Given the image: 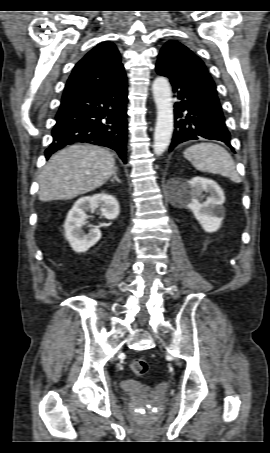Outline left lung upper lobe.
Here are the masks:
<instances>
[{"label":"left lung upper lobe","instance_id":"5c2ea615","mask_svg":"<svg viewBox=\"0 0 270 453\" xmlns=\"http://www.w3.org/2000/svg\"><path fill=\"white\" fill-rule=\"evenodd\" d=\"M158 61L165 62L181 75L216 90L203 61L183 44L173 40L167 42L161 49Z\"/></svg>","mask_w":270,"mask_h":453}]
</instances>
